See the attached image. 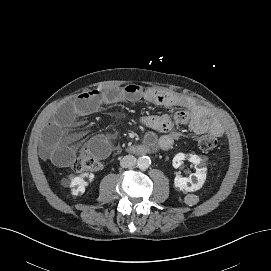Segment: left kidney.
Listing matches in <instances>:
<instances>
[{
  "label": "left kidney",
  "mask_w": 271,
  "mask_h": 271,
  "mask_svg": "<svg viewBox=\"0 0 271 271\" xmlns=\"http://www.w3.org/2000/svg\"><path fill=\"white\" fill-rule=\"evenodd\" d=\"M188 157V160L193 164L200 165L202 159L193 154L186 155L184 153H178L173 158V166L174 168H178L183 160ZM206 171L207 168L201 166L200 168L196 169V173L191 174L189 177H180L176 176L174 179V185L176 188L180 189L181 191L186 192H194L202 188L205 180H206Z\"/></svg>",
  "instance_id": "5707ae66"
}]
</instances>
